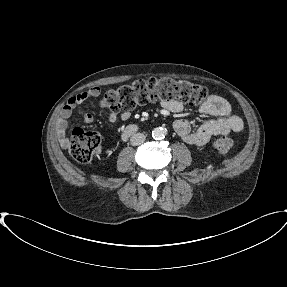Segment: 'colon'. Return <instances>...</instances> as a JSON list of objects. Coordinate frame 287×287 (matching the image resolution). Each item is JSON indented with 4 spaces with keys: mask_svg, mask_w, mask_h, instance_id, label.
<instances>
[{
    "mask_svg": "<svg viewBox=\"0 0 287 287\" xmlns=\"http://www.w3.org/2000/svg\"><path fill=\"white\" fill-rule=\"evenodd\" d=\"M212 98L203 86L169 78L137 80L129 85L107 91L101 101L102 106L111 110H131L157 100L179 101L199 106ZM239 144L238 139L222 137L212 143V148L220 153H228ZM101 137L97 132L74 128L68 142L71 157L80 163H87L100 150Z\"/></svg>",
    "mask_w": 287,
    "mask_h": 287,
    "instance_id": "5ec220e1",
    "label": "colon"
}]
</instances>
